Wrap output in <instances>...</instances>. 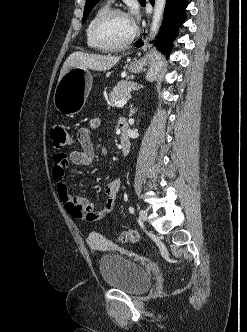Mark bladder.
Listing matches in <instances>:
<instances>
[{"label": "bladder", "instance_id": "obj_1", "mask_svg": "<svg viewBox=\"0 0 247 332\" xmlns=\"http://www.w3.org/2000/svg\"><path fill=\"white\" fill-rule=\"evenodd\" d=\"M99 271L108 287L130 295L145 292L152 283L151 275L143 265L116 253L105 254L99 259Z\"/></svg>", "mask_w": 247, "mask_h": 332}]
</instances>
